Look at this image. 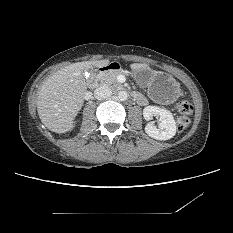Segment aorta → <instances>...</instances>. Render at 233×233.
Returning a JSON list of instances; mask_svg holds the SVG:
<instances>
[{"label":"aorta","mask_w":233,"mask_h":233,"mask_svg":"<svg viewBox=\"0 0 233 233\" xmlns=\"http://www.w3.org/2000/svg\"><path fill=\"white\" fill-rule=\"evenodd\" d=\"M117 97L120 101H125L128 98V94L126 91H119Z\"/></svg>","instance_id":"762f6f07"}]
</instances>
